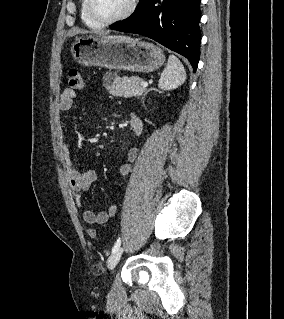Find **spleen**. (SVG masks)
<instances>
[{
	"label": "spleen",
	"instance_id": "3e777b00",
	"mask_svg": "<svg viewBox=\"0 0 284 319\" xmlns=\"http://www.w3.org/2000/svg\"><path fill=\"white\" fill-rule=\"evenodd\" d=\"M186 80V71L180 60L170 55L167 66L161 73L158 86L163 90H172L181 86Z\"/></svg>",
	"mask_w": 284,
	"mask_h": 319
}]
</instances>
